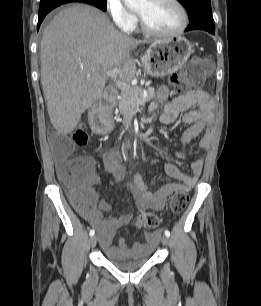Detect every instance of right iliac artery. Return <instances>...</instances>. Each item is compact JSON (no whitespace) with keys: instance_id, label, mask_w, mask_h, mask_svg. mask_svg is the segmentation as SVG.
Here are the masks:
<instances>
[{"instance_id":"right-iliac-artery-1","label":"right iliac artery","mask_w":261,"mask_h":306,"mask_svg":"<svg viewBox=\"0 0 261 306\" xmlns=\"http://www.w3.org/2000/svg\"><path fill=\"white\" fill-rule=\"evenodd\" d=\"M94 234H95L94 229L90 230L89 235H90V236H93Z\"/></svg>"}]
</instances>
